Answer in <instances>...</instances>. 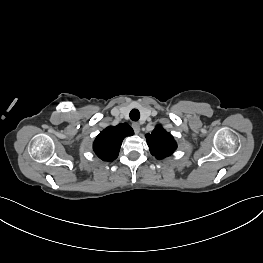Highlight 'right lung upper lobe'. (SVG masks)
Wrapping results in <instances>:
<instances>
[{
	"label": "right lung upper lobe",
	"instance_id": "1",
	"mask_svg": "<svg viewBox=\"0 0 263 263\" xmlns=\"http://www.w3.org/2000/svg\"><path fill=\"white\" fill-rule=\"evenodd\" d=\"M133 134V129L126 123L109 126L96 137L93 150L101 160L113 161L118 157L122 140Z\"/></svg>",
	"mask_w": 263,
	"mask_h": 263
}]
</instances>
